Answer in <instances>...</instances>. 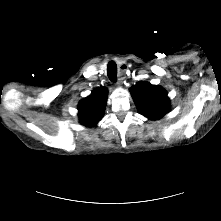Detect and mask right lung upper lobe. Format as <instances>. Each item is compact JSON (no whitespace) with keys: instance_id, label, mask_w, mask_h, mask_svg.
<instances>
[{"instance_id":"cb5924a9","label":"right lung upper lobe","mask_w":221,"mask_h":221,"mask_svg":"<svg viewBox=\"0 0 221 221\" xmlns=\"http://www.w3.org/2000/svg\"><path fill=\"white\" fill-rule=\"evenodd\" d=\"M107 89L98 87L90 96L81 100L78 105L80 123L85 126H95L103 117L106 105Z\"/></svg>"}]
</instances>
